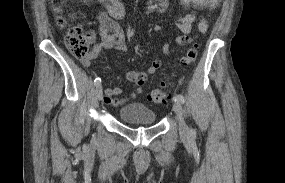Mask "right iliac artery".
Returning a JSON list of instances; mask_svg holds the SVG:
<instances>
[{
	"mask_svg": "<svg viewBox=\"0 0 285 183\" xmlns=\"http://www.w3.org/2000/svg\"><path fill=\"white\" fill-rule=\"evenodd\" d=\"M100 83H101V79L99 77L94 80L95 86L99 85Z\"/></svg>",
	"mask_w": 285,
	"mask_h": 183,
	"instance_id": "right-iliac-artery-1",
	"label": "right iliac artery"
}]
</instances>
